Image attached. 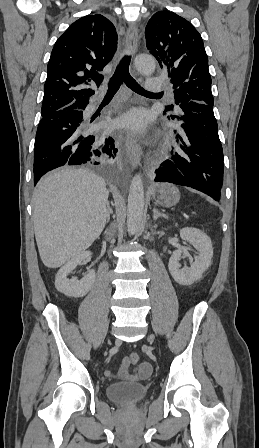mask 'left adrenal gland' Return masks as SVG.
Returning a JSON list of instances; mask_svg holds the SVG:
<instances>
[{"label":"left adrenal gland","mask_w":259,"mask_h":448,"mask_svg":"<svg viewBox=\"0 0 259 448\" xmlns=\"http://www.w3.org/2000/svg\"><path fill=\"white\" fill-rule=\"evenodd\" d=\"M154 216H153V220H157V218H168V216H166V214H161V212H158V210H156V208H154V210H152Z\"/></svg>","instance_id":"1"}]
</instances>
